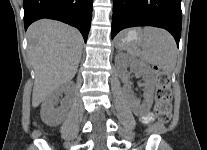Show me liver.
Instances as JSON below:
<instances>
[{"label": "liver", "instance_id": "1", "mask_svg": "<svg viewBox=\"0 0 207 150\" xmlns=\"http://www.w3.org/2000/svg\"><path fill=\"white\" fill-rule=\"evenodd\" d=\"M28 53L35 81L32 106L35 108L76 74L82 55L83 38L75 28L62 22L42 19L27 30Z\"/></svg>", "mask_w": 207, "mask_h": 150}]
</instances>
